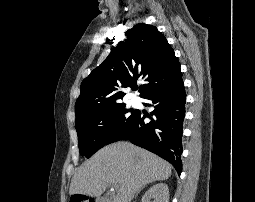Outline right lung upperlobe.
<instances>
[{"label":"right lung upper lobe","instance_id":"obj_1","mask_svg":"<svg viewBox=\"0 0 255 202\" xmlns=\"http://www.w3.org/2000/svg\"><path fill=\"white\" fill-rule=\"evenodd\" d=\"M81 83L76 101V119L116 103L125 95L122 88L144 79L140 97L165 88L182 78L174 50L155 26L139 23Z\"/></svg>","mask_w":255,"mask_h":202}]
</instances>
